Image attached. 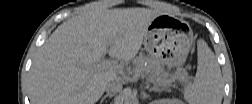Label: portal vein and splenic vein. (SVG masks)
<instances>
[{"instance_id": "1", "label": "portal vein and splenic vein", "mask_w": 252, "mask_h": 104, "mask_svg": "<svg viewBox=\"0 0 252 104\" xmlns=\"http://www.w3.org/2000/svg\"><path fill=\"white\" fill-rule=\"evenodd\" d=\"M96 67L99 68V69H109V70H113V71H116V72H121L120 66L116 62L111 61V60L100 61L96 65ZM187 79H189V77H187Z\"/></svg>"}]
</instances>
